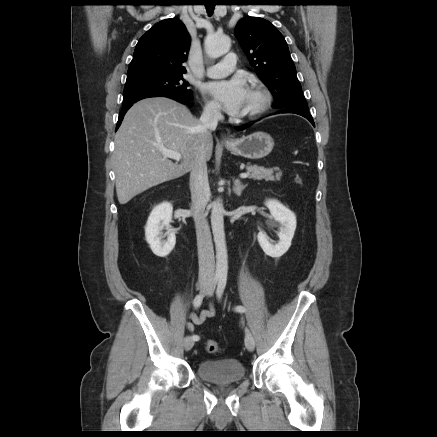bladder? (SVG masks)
<instances>
[{
    "label": "bladder",
    "instance_id": "31cf9c89",
    "mask_svg": "<svg viewBox=\"0 0 437 437\" xmlns=\"http://www.w3.org/2000/svg\"><path fill=\"white\" fill-rule=\"evenodd\" d=\"M197 376L211 383L238 382L245 377V367L237 359L204 360L196 368Z\"/></svg>",
    "mask_w": 437,
    "mask_h": 437
}]
</instances>
